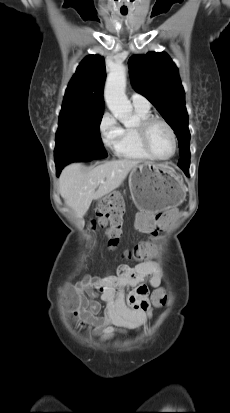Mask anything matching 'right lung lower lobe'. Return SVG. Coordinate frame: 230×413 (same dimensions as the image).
I'll list each match as a JSON object with an SVG mask.
<instances>
[{"mask_svg": "<svg viewBox=\"0 0 230 413\" xmlns=\"http://www.w3.org/2000/svg\"><path fill=\"white\" fill-rule=\"evenodd\" d=\"M56 168H57V175H59V173H60V171L62 170L63 167H61V166H56Z\"/></svg>", "mask_w": 230, "mask_h": 413, "instance_id": "1", "label": "right lung lower lobe"}]
</instances>
